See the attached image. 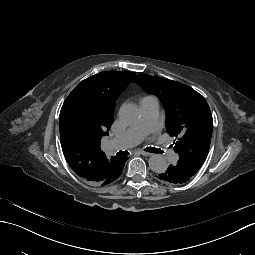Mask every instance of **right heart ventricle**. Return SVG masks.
<instances>
[{
  "label": "right heart ventricle",
  "mask_w": 255,
  "mask_h": 255,
  "mask_svg": "<svg viewBox=\"0 0 255 255\" xmlns=\"http://www.w3.org/2000/svg\"><path fill=\"white\" fill-rule=\"evenodd\" d=\"M151 99H156L153 95H147L145 97H143L142 101L143 100H151Z\"/></svg>",
  "instance_id": "1"
}]
</instances>
